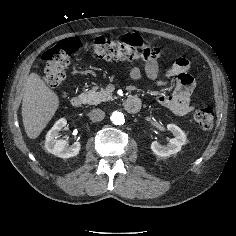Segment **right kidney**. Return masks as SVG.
I'll return each instance as SVG.
<instances>
[{"instance_id":"1","label":"right kidney","mask_w":236,"mask_h":236,"mask_svg":"<svg viewBox=\"0 0 236 236\" xmlns=\"http://www.w3.org/2000/svg\"><path fill=\"white\" fill-rule=\"evenodd\" d=\"M67 121L65 118L59 119L48 131L45 140V149L58 157L70 158L76 156L81 148L80 142H74L68 147V142L63 139H57L58 132L65 127Z\"/></svg>"}]
</instances>
